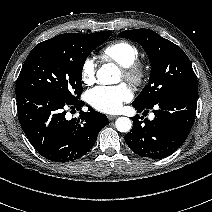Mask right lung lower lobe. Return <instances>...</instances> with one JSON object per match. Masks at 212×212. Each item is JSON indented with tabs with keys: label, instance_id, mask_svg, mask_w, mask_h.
I'll return each mask as SVG.
<instances>
[{
	"label": "right lung lower lobe",
	"instance_id": "98d812e1",
	"mask_svg": "<svg viewBox=\"0 0 212 212\" xmlns=\"http://www.w3.org/2000/svg\"><path fill=\"white\" fill-rule=\"evenodd\" d=\"M18 118L32 146L44 158L69 162L85 155L107 125L106 115L89 108L79 119L65 118V108L80 110L83 101H66L45 92L16 95Z\"/></svg>",
	"mask_w": 212,
	"mask_h": 212
}]
</instances>
